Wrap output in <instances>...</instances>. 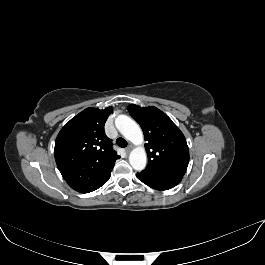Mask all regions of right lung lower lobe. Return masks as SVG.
<instances>
[{
    "instance_id": "obj_1",
    "label": "right lung lower lobe",
    "mask_w": 265,
    "mask_h": 265,
    "mask_svg": "<svg viewBox=\"0 0 265 265\" xmlns=\"http://www.w3.org/2000/svg\"><path fill=\"white\" fill-rule=\"evenodd\" d=\"M110 178V174L105 177L103 180H101L100 182L96 183L94 186H92L91 188L87 189L86 191H84L83 193H88V192H92L98 188H100L103 184H105Z\"/></svg>"
}]
</instances>
